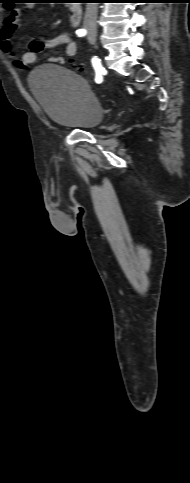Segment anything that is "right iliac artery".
Wrapping results in <instances>:
<instances>
[{"instance_id":"obj_1","label":"right iliac artery","mask_w":190,"mask_h":483,"mask_svg":"<svg viewBox=\"0 0 190 483\" xmlns=\"http://www.w3.org/2000/svg\"><path fill=\"white\" fill-rule=\"evenodd\" d=\"M76 34L79 37L85 36L86 35V30H84V29H78L76 31ZM92 64H93V67H94V69L96 71V74H97L96 75V78H95V81H96V83H101L102 79H101L100 74L102 73L103 67L100 64V60L97 57H94L92 59Z\"/></svg>"}]
</instances>
